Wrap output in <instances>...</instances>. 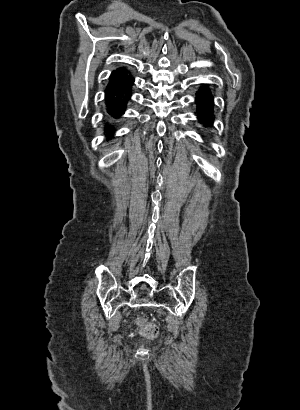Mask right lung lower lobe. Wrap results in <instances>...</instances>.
<instances>
[{
    "mask_svg": "<svg viewBox=\"0 0 300 410\" xmlns=\"http://www.w3.org/2000/svg\"><path fill=\"white\" fill-rule=\"evenodd\" d=\"M134 78L125 67H120L112 72L105 88V107L109 116L116 120L120 118L126 110L127 103L131 99ZM106 135L110 136L114 132L112 124L105 125Z\"/></svg>",
    "mask_w": 300,
    "mask_h": 410,
    "instance_id": "1",
    "label": "right lung lower lobe"
}]
</instances>
